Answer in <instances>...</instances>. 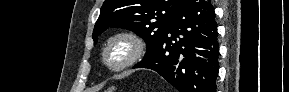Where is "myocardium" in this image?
Segmentation results:
<instances>
[{"instance_id": "obj_1", "label": "myocardium", "mask_w": 289, "mask_h": 92, "mask_svg": "<svg viewBox=\"0 0 289 92\" xmlns=\"http://www.w3.org/2000/svg\"><path fill=\"white\" fill-rule=\"evenodd\" d=\"M123 41L128 45L127 55L118 63H113L110 59V51L114 43ZM147 50L144 39L134 31L121 30L112 34L104 43L101 50V61L104 66L112 71L119 72L130 68L140 62Z\"/></svg>"}]
</instances>
